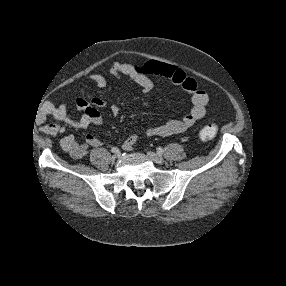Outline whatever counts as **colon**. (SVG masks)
I'll use <instances>...</instances> for the list:
<instances>
[{"label": "colon", "mask_w": 286, "mask_h": 286, "mask_svg": "<svg viewBox=\"0 0 286 286\" xmlns=\"http://www.w3.org/2000/svg\"><path fill=\"white\" fill-rule=\"evenodd\" d=\"M149 73H152V71H149ZM218 133V125L216 123H208L199 131V137L202 140H209L214 138Z\"/></svg>", "instance_id": "5ec220e1"}]
</instances>
